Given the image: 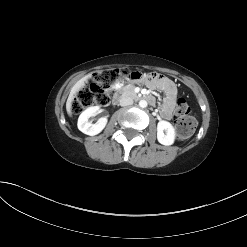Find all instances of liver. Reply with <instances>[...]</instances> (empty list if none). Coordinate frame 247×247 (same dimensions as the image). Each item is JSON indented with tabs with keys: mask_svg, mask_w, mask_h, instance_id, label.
Segmentation results:
<instances>
[{
	"mask_svg": "<svg viewBox=\"0 0 247 247\" xmlns=\"http://www.w3.org/2000/svg\"><path fill=\"white\" fill-rule=\"evenodd\" d=\"M90 76H91L90 74L84 76L83 78H81L80 80H78L74 84V86L72 87V89L70 91V94L68 96L67 102H66V110H67V113L69 115H71V113H72L71 112V108H72V102L74 100L75 95L77 94V92L80 89H82L85 86V84L87 83V81H88V79H89Z\"/></svg>",
	"mask_w": 247,
	"mask_h": 247,
	"instance_id": "1",
	"label": "liver"
}]
</instances>
